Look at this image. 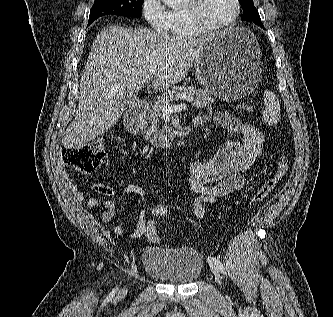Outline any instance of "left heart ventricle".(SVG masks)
Here are the masks:
<instances>
[{
	"label": "left heart ventricle",
	"mask_w": 333,
	"mask_h": 317,
	"mask_svg": "<svg viewBox=\"0 0 333 317\" xmlns=\"http://www.w3.org/2000/svg\"><path fill=\"white\" fill-rule=\"evenodd\" d=\"M234 11L233 0H203L202 16L210 24H220L227 21Z\"/></svg>",
	"instance_id": "left-heart-ventricle-1"
}]
</instances>
